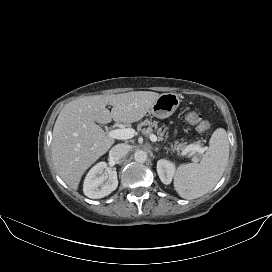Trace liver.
Instances as JSON below:
<instances>
[{
    "instance_id": "1",
    "label": "liver",
    "mask_w": 272,
    "mask_h": 272,
    "mask_svg": "<svg viewBox=\"0 0 272 272\" xmlns=\"http://www.w3.org/2000/svg\"><path fill=\"white\" fill-rule=\"evenodd\" d=\"M159 96L151 91H133L83 97L67 103L55 122L51 144L55 168L64 182L77 190L84 172L114 144V139L96 122H137ZM106 105L112 106L111 112Z\"/></svg>"
}]
</instances>
